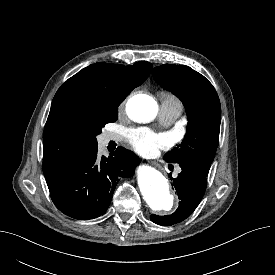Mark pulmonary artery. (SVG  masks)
I'll return each mask as SVG.
<instances>
[{"label": "pulmonary artery", "mask_w": 275, "mask_h": 275, "mask_svg": "<svg viewBox=\"0 0 275 275\" xmlns=\"http://www.w3.org/2000/svg\"><path fill=\"white\" fill-rule=\"evenodd\" d=\"M181 106L169 103H162L160 107L159 118L162 124L168 125L174 122L181 113ZM118 140V136L114 134L106 135V141ZM180 170L178 169V172Z\"/></svg>", "instance_id": "pulmonary-artery-1"}]
</instances>
